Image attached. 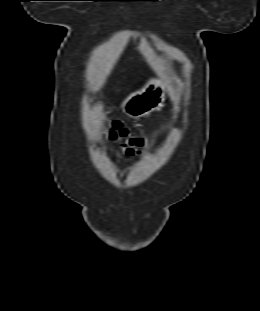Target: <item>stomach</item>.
Here are the masks:
<instances>
[{
	"instance_id": "0dacf381",
	"label": "stomach",
	"mask_w": 260,
	"mask_h": 311,
	"mask_svg": "<svg viewBox=\"0 0 260 311\" xmlns=\"http://www.w3.org/2000/svg\"><path fill=\"white\" fill-rule=\"evenodd\" d=\"M164 99L165 85L163 80L151 78L141 90L124 99L121 103V109L126 115L139 118L158 108Z\"/></svg>"
}]
</instances>
